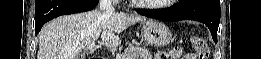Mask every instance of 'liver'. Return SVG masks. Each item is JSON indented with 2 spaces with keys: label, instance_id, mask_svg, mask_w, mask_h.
<instances>
[{
  "label": "liver",
  "instance_id": "liver-1",
  "mask_svg": "<svg viewBox=\"0 0 261 59\" xmlns=\"http://www.w3.org/2000/svg\"><path fill=\"white\" fill-rule=\"evenodd\" d=\"M145 20L140 15L113 13L106 16L97 9L60 16L45 24L39 33L37 59H76L77 55L100 35L103 44L117 47L120 34L129 26Z\"/></svg>",
  "mask_w": 261,
  "mask_h": 59
}]
</instances>
